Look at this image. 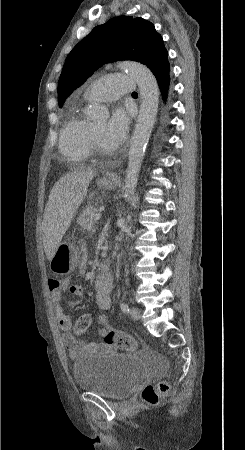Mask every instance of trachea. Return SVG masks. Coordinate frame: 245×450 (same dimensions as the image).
Returning <instances> with one entry per match:
<instances>
[{"label":"trachea","instance_id":"obj_1","mask_svg":"<svg viewBox=\"0 0 245 450\" xmlns=\"http://www.w3.org/2000/svg\"><path fill=\"white\" fill-rule=\"evenodd\" d=\"M133 95H138L137 92H133Z\"/></svg>","mask_w":245,"mask_h":450}]
</instances>
